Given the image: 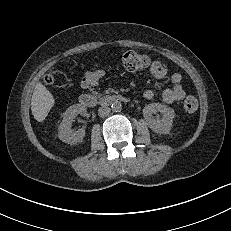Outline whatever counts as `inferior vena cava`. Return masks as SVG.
<instances>
[{"label": "inferior vena cava", "instance_id": "1", "mask_svg": "<svg viewBox=\"0 0 231 231\" xmlns=\"http://www.w3.org/2000/svg\"><path fill=\"white\" fill-rule=\"evenodd\" d=\"M110 111H111L110 107L104 105L99 108L98 115L100 117H106L109 115Z\"/></svg>", "mask_w": 231, "mask_h": 231}]
</instances>
